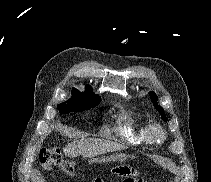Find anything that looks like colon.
<instances>
[{"mask_svg": "<svg viewBox=\"0 0 211 182\" xmlns=\"http://www.w3.org/2000/svg\"><path fill=\"white\" fill-rule=\"evenodd\" d=\"M38 157L41 165L45 169H49L51 166L56 165L61 167V169L68 175H75L78 172L76 164L64 158L62 153L58 150L42 148L39 151ZM115 170L119 177L125 178L130 175L134 182H143L138 173L130 167H117Z\"/></svg>", "mask_w": 211, "mask_h": 182, "instance_id": "1", "label": "colon"}]
</instances>
